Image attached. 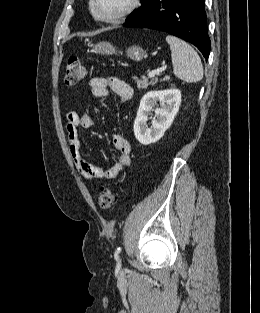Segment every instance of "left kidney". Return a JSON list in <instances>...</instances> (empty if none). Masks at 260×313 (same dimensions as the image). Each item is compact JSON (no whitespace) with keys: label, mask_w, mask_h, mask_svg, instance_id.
I'll use <instances>...</instances> for the list:
<instances>
[{"label":"left kidney","mask_w":260,"mask_h":313,"mask_svg":"<svg viewBox=\"0 0 260 313\" xmlns=\"http://www.w3.org/2000/svg\"><path fill=\"white\" fill-rule=\"evenodd\" d=\"M160 102L161 107H153ZM181 104V92L178 89L150 91L140 101V106L134 122V135L143 145L157 142L171 126ZM151 111L155 112L152 126L148 128L147 121Z\"/></svg>","instance_id":"5707ae66"}]
</instances>
